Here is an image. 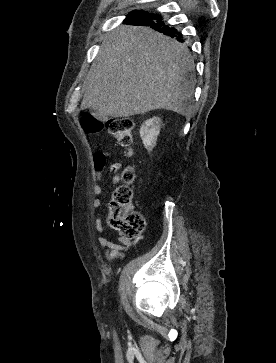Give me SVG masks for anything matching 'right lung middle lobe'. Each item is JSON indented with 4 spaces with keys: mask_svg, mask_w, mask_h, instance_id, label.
<instances>
[{
    "mask_svg": "<svg viewBox=\"0 0 276 363\" xmlns=\"http://www.w3.org/2000/svg\"><path fill=\"white\" fill-rule=\"evenodd\" d=\"M142 13H145V12H143V11H141V10H139V11H134V12L130 13L128 16H137V15L142 14Z\"/></svg>",
    "mask_w": 276,
    "mask_h": 363,
    "instance_id": "right-lung-middle-lobe-1",
    "label": "right lung middle lobe"
}]
</instances>
